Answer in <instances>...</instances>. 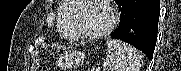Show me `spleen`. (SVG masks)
Segmentation results:
<instances>
[{
    "mask_svg": "<svg viewBox=\"0 0 181 71\" xmlns=\"http://www.w3.org/2000/svg\"><path fill=\"white\" fill-rule=\"evenodd\" d=\"M106 46L103 71H139L141 56L134 47L116 39L107 40Z\"/></svg>",
    "mask_w": 181,
    "mask_h": 71,
    "instance_id": "3e777b00",
    "label": "spleen"
}]
</instances>
